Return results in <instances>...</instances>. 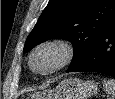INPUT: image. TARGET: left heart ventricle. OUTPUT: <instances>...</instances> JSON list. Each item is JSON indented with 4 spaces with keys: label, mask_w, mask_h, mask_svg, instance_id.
<instances>
[{
    "label": "left heart ventricle",
    "mask_w": 115,
    "mask_h": 99,
    "mask_svg": "<svg viewBox=\"0 0 115 99\" xmlns=\"http://www.w3.org/2000/svg\"><path fill=\"white\" fill-rule=\"evenodd\" d=\"M60 52L55 48H46L39 51L33 60L37 70L45 71L54 67L60 60Z\"/></svg>",
    "instance_id": "b2bd125f"
}]
</instances>
